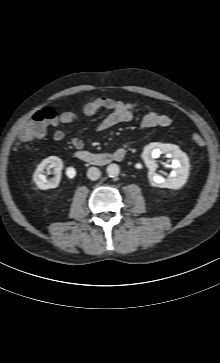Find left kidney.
Segmentation results:
<instances>
[{
  "instance_id": "5707ae66",
  "label": "left kidney",
  "mask_w": 220,
  "mask_h": 363,
  "mask_svg": "<svg viewBox=\"0 0 220 363\" xmlns=\"http://www.w3.org/2000/svg\"><path fill=\"white\" fill-rule=\"evenodd\" d=\"M166 153L172 158V168L174 169L168 178L159 176L156 171V161L160 154ZM142 159L149 168V182L154 187L179 189L187 181L189 176V159L177 145L150 143L144 148Z\"/></svg>"
}]
</instances>
